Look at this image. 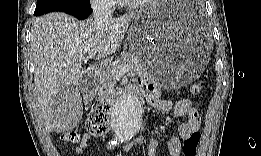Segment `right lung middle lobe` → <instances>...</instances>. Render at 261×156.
Here are the masks:
<instances>
[{"instance_id":"right-lung-middle-lobe-1","label":"right lung middle lobe","mask_w":261,"mask_h":156,"mask_svg":"<svg viewBox=\"0 0 261 156\" xmlns=\"http://www.w3.org/2000/svg\"><path fill=\"white\" fill-rule=\"evenodd\" d=\"M77 7H91L89 0H38L35 15L51 11L69 12Z\"/></svg>"}]
</instances>
